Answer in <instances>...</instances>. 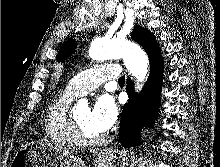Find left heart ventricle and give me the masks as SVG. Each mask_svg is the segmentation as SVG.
I'll list each match as a JSON object with an SVG mask.
<instances>
[{"label": "left heart ventricle", "mask_w": 220, "mask_h": 167, "mask_svg": "<svg viewBox=\"0 0 220 167\" xmlns=\"http://www.w3.org/2000/svg\"><path fill=\"white\" fill-rule=\"evenodd\" d=\"M90 110L86 106H81L75 109V115L77 117L82 134L89 139H94L102 135V133L96 131L90 123L89 119Z\"/></svg>", "instance_id": "left-heart-ventricle-1"}]
</instances>
